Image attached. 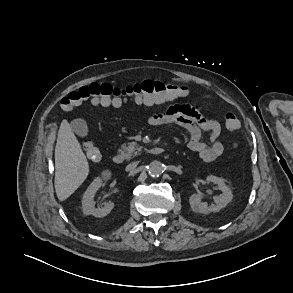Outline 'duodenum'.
Returning a JSON list of instances; mask_svg holds the SVG:
<instances>
[{"label": "duodenum", "mask_w": 293, "mask_h": 293, "mask_svg": "<svg viewBox=\"0 0 293 293\" xmlns=\"http://www.w3.org/2000/svg\"><path fill=\"white\" fill-rule=\"evenodd\" d=\"M164 151L165 149L160 146H153L148 149V153L155 156L164 153ZM112 161L115 164H122L125 161V155L123 153L118 152L115 155H113Z\"/></svg>", "instance_id": "410a0bca"}]
</instances>
